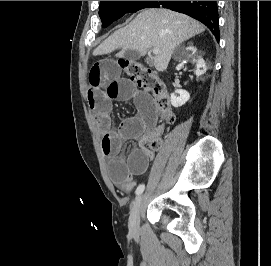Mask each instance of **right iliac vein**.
Instances as JSON below:
<instances>
[{
  "label": "right iliac vein",
  "mask_w": 271,
  "mask_h": 266,
  "mask_svg": "<svg viewBox=\"0 0 271 266\" xmlns=\"http://www.w3.org/2000/svg\"><path fill=\"white\" fill-rule=\"evenodd\" d=\"M142 199V195H139L135 199L129 216V231L133 236H137L139 233V219L142 209Z\"/></svg>",
  "instance_id": "obj_1"
}]
</instances>
